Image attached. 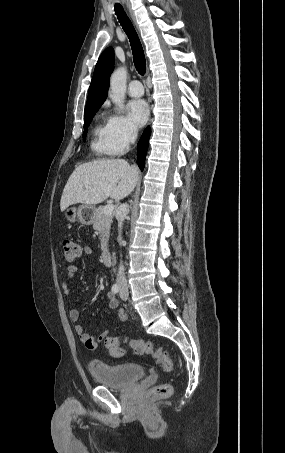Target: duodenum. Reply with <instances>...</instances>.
I'll return each instance as SVG.
<instances>
[{
  "label": "duodenum",
  "mask_w": 285,
  "mask_h": 453,
  "mask_svg": "<svg viewBox=\"0 0 285 453\" xmlns=\"http://www.w3.org/2000/svg\"><path fill=\"white\" fill-rule=\"evenodd\" d=\"M103 261L106 265H110L112 262V254L110 251H104L102 254Z\"/></svg>",
  "instance_id": "obj_1"
}]
</instances>
